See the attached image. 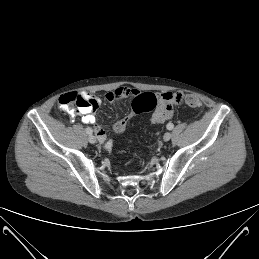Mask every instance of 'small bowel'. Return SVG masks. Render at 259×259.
<instances>
[{"label":"small bowel","mask_w":259,"mask_h":259,"mask_svg":"<svg viewBox=\"0 0 259 259\" xmlns=\"http://www.w3.org/2000/svg\"><path fill=\"white\" fill-rule=\"evenodd\" d=\"M137 94H139L138 90L122 86L109 91L105 95V99L112 103L130 96H136ZM157 98L158 105L151 116V122L153 124L164 123L172 117L173 106L180 102L181 94L167 91L160 93ZM58 103L63 111L68 112L73 105L78 106V110L76 112H71V114L79 115L81 116L83 123L93 125L99 142L103 143L105 141L106 132L102 126L96 124V118L92 114V112L101 104L99 98L88 93L72 92L60 96Z\"/></svg>","instance_id":"1"}]
</instances>
